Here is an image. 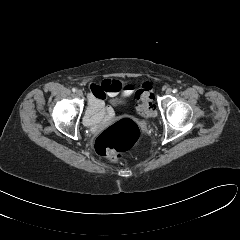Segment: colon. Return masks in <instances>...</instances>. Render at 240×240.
<instances>
[{
  "label": "colon",
  "mask_w": 240,
  "mask_h": 240,
  "mask_svg": "<svg viewBox=\"0 0 240 240\" xmlns=\"http://www.w3.org/2000/svg\"><path fill=\"white\" fill-rule=\"evenodd\" d=\"M137 99L141 102L137 112L144 118L155 115L153 103V89L151 84L145 82L136 93ZM141 135L140 126L131 119H120L105 131L95 141L96 152L108 158L110 161H117L122 154L131 149Z\"/></svg>",
  "instance_id": "5ec220e1"
}]
</instances>
